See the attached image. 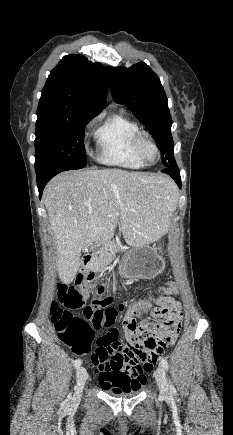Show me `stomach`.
<instances>
[{
	"instance_id": "obj_1",
	"label": "stomach",
	"mask_w": 233,
	"mask_h": 435,
	"mask_svg": "<svg viewBox=\"0 0 233 435\" xmlns=\"http://www.w3.org/2000/svg\"><path fill=\"white\" fill-rule=\"evenodd\" d=\"M161 238L158 246L134 247L127 252L119 266V274L127 279H152L162 273L165 259L164 241Z\"/></svg>"
}]
</instances>
